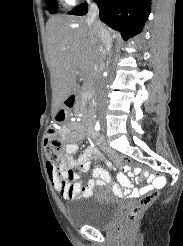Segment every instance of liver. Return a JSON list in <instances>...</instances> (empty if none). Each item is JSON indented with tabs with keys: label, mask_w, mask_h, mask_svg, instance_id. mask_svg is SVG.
<instances>
[{
	"label": "liver",
	"mask_w": 183,
	"mask_h": 246,
	"mask_svg": "<svg viewBox=\"0 0 183 246\" xmlns=\"http://www.w3.org/2000/svg\"><path fill=\"white\" fill-rule=\"evenodd\" d=\"M111 38L117 34L107 29ZM47 48L54 86V105L79 92L77 75L93 76L100 59L101 43L87 17L53 16L46 24Z\"/></svg>",
	"instance_id": "liver-1"
}]
</instances>
